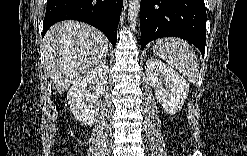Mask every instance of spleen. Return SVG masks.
<instances>
[{"label":"spleen","instance_id":"1","mask_svg":"<svg viewBox=\"0 0 247 156\" xmlns=\"http://www.w3.org/2000/svg\"><path fill=\"white\" fill-rule=\"evenodd\" d=\"M158 57L175 67L189 82L196 83L199 74L197 57L188 42L168 37L159 39L154 47Z\"/></svg>","mask_w":247,"mask_h":156}]
</instances>
